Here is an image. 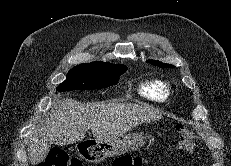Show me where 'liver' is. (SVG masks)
Instances as JSON below:
<instances>
[{
	"instance_id": "1",
	"label": "liver",
	"mask_w": 231,
	"mask_h": 166,
	"mask_svg": "<svg viewBox=\"0 0 231 166\" xmlns=\"http://www.w3.org/2000/svg\"><path fill=\"white\" fill-rule=\"evenodd\" d=\"M161 112L147 104L81 103L64 99L54 105L45 124L31 136L29 161L37 165L45 160L52 143L67 145L85 138L88 129L99 140L123 136L134 127L161 119Z\"/></svg>"
}]
</instances>
